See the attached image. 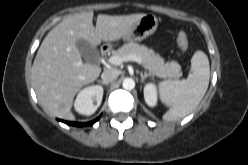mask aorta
<instances>
[{
  "label": "aorta",
  "instance_id": "obj_1",
  "mask_svg": "<svg viewBox=\"0 0 248 165\" xmlns=\"http://www.w3.org/2000/svg\"><path fill=\"white\" fill-rule=\"evenodd\" d=\"M122 86L126 90H132L135 87V81L132 78H126L123 80Z\"/></svg>",
  "mask_w": 248,
  "mask_h": 165
}]
</instances>
